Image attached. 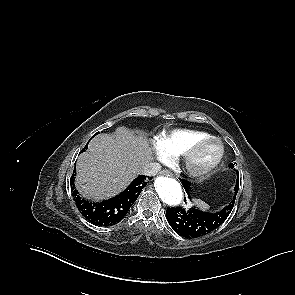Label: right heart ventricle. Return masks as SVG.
<instances>
[{
	"mask_svg": "<svg viewBox=\"0 0 295 295\" xmlns=\"http://www.w3.org/2000/svg\"><path fill=\"white\" fill-rule=\"evenodd\" d=\"M206 137L209 134L203 131L178 129L158 137L156 142L169 157H177L183 155L194 142Z\"/></svg>",
	"mask_w": 295,
	"mask_h": 295,
	"instance_id": "1",
	"label": "right heart ventricle"
}]
</instances>
